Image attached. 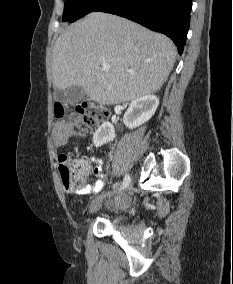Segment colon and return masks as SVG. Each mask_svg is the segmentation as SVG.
I'll return each instance as SVG.
<instances>
[{
  "instance_id": "obj_1",
  "label": "colon",
  "mask_w": 233,
  "mask_h": 284,
  "mask_svg": "<svg viewBox=\"0 0 233 284\" xmlns=\"http://www.w3.org/2000/svg\"><path fill=\"white\" fill-rule=\"evenodd\" d=\"M76 110L81 116L82 123L89 128L98 127L109 117L108 108L97 103L82 102L77 105ZM54 112L56 117H62L64 114L62 105L56 104ZM58 168L66 189L82 188L86 176L82 173L74 159L67 155H61Z\"/></svg>"
}]
</instances>
